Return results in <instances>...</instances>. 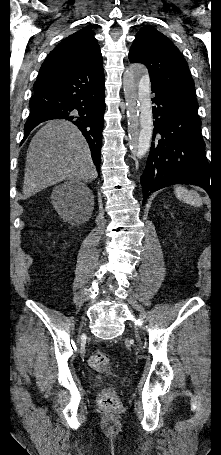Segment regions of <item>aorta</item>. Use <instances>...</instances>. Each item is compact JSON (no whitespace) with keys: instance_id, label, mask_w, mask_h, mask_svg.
Returning <instances> with one entry per match:
<instances>
[{"instance_id":"obj_1","label":"aorta","mask_w":221,"mask_h":455,"mask_svg":"<svg viewBox=\"0 0 221 455\" xmlns=\"http://www.w3.org/2000/svg\"><path fill=\"white\" fill-rule=\"evenodd\" d=\"M127 106L129 147L134 157L142 158L150 149L153 118L147 68L132 64L123 75Z\"/></svg>"}]
</instances>
